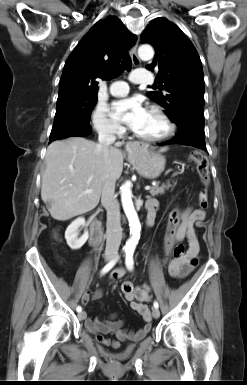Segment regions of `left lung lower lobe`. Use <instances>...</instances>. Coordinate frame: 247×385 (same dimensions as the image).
Masks as SVG:
<instances>
[{
	"mask_svg": "<svg viewBox=\"0 0 247 385\" xmlns=\"http://www.w3.org/2000/svg\"><path fill=\"white\" fill-rule=\"evenodd\" d=\"M175 123L178 126V133L176 137L167 142L158 144L159 146L167 144H182L206 150L204 116L184 115Z\"/></svg>",
	"mask_w": 247,
	"mask_h": 385,
	"instance_id": "left-lung-lower-lobe-1",
	"label": "left lung lower lobe"
}]
</instances>
